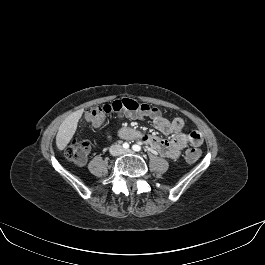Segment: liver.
<instances>
[{
  "instance_id": "6515ba94",
  "label": "liver",
  "mask_w": 265,
  "mask_h": 265,
  "mask_svg": "<svg viewBox=\"0 0 265 265\" xmlns=\"http://www.w3.org/2000/svg\"><path fill=\"white\" fill-rule=\"evenodd\" d=\"M82 114V109L75 111L61 123L56 135V146L59 150L65 149L68 143L71 141Z\"/></svg>"
}]
</instances>
